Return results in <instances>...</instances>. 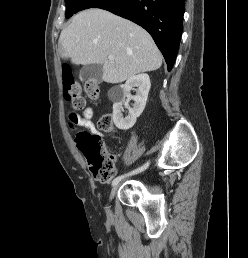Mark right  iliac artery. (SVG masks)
Here are the masks:
<instances>
[{
  "label": "right iliac artery",
  "mask_w": 248,
  "mask_h": 258,
  "mask_svg": "<svg viewBox=\"0 0 248 258\" xmlns=\"http://www.w3.org/2000/svg\"><path fill=\"white\" fill-rule=\"evenodd\" d=\"M149 166V162H147L146 164H144L143 166H141L140 168L128 173V174H125V175H121V176H118L116 177L113 182H112V185L115 186L117 183H119V181H121V179H123L124 177L126 176H129V175H133V174H136V173H139V172H142L143 170H145L147 167Z\"/></svg>",
  "instance_id": "1"
}]
</instances>
